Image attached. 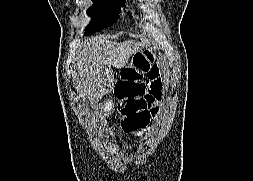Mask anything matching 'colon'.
<instances>
[{"mask_svg":"<svg viewBox=\"0 0 253 181\" xmlns=\"http://www.w3.org/2000/svg\"><path fill=\"white\" fill-rule=\"evenodd\" d=\"M151 53H137L133 64L122 70L121 80L116 85V97L120 101L122 127L128 133L143 131L150 122L155 99L148 97L146 77Z\"/></svg>","mask_w":253,"mask_h":181,"instance_id":"5ec220e1","label":"colon"}]
</instances>
